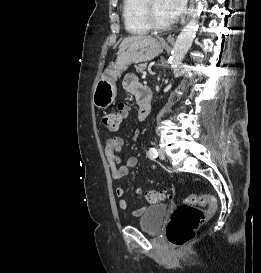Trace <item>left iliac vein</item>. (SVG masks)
I'll return each instance as SVG.
<instances>
[{
	"instance_id": "left-iliac-vein-1",
	"label": "left iliac vein",
	"mask_w": 261,
	"mask_h": 273,
	"mask_svg": "<svg viewBox=\"0 0 261 273\" xmlns=\"http://www.w3.org/2000/svg\"><path fill=\"white\" fill-rule=\"evenodd\" d=\"M158 155H159V158L162 160H164L166 158L165 152L161 148L158 149Z\"/></svg>"
}]
</instances>
